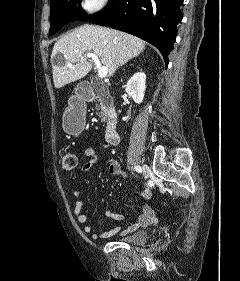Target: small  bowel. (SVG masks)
<instances>
[{"mask_svg":"<svg viewBox=\"0 0 240 281\" xmlns=\"http://www.w3.org/2000/svg\"><path fill=\"white\" fill-rule=\"evenodd\" d=\"M84 156H85V158L88 159V161L85 162L82 166L83 172H88L93 167V165H95L96 163H98L100 161V157H99L98 153L93 148L85 149ZM104 168L110 174H113V175H116V176H121V177H126V173L121 169L119 163L116 162L115 160L105 161L104 162ZM140 196L143 199L148 200L151 197V193L148 190H143V191L140 192ZM72 197L74 199L73 213H74L76 222L80 226L83 227V230H84L85 233L92 234L94 239H102V238H107V237L113 236L114 234H116L119 231V228H116V229H113V230H110V231H107V232H103V233H94L93 227L87 224L88 218L83 211L84 203L81 199V192L78 188H76V187L72 188ZM106 215L108 217L112 218V219H115V220H123L124 219L123 215L115 213L111 210H108L106 212ZM154 216H155L154 209L149 205H144L142 207L141 214L139 215L136 222H134L132 225L127 227V229L122 231L121 234L126 235L128 233H132V232L136 231L137 229H139L141 227L148 226L153 221Z\"/></svg>","mask_w":240,"mask_h":281,"instance_id":"c3829d8e","label":"small bowel"}]
</instances>
